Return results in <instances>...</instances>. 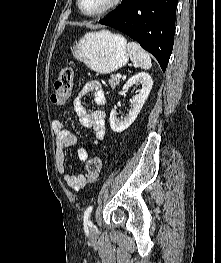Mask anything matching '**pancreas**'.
Here are the masks:
<instances>
[{
	"label": "pancreas",
	"mask_w": 221,
	"mask_h": 263,
	"mask_svg": "<svg viewBox=\"0 0 221 263\" xmlns=\"http://www.w3.org/2000/svg\"><path fill=\"white\" fill-rule=\"evenodd\" d=\"M120 80L116 76L112 75L109 79V85L111 86L112 89H115L117 85H119Z\"/></svg>",
	"instance_id": "1"
}]
</instances>
